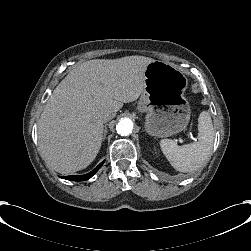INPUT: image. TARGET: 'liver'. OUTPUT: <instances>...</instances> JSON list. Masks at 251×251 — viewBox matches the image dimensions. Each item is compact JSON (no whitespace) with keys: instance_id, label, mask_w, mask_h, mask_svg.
<instances>
[{"instance_id":"1","label":"liver","mask_w":251,"mask_h":251,"mask_svg":"<svg viewBox=\"0 0 251 251\" xmlns=\"http://www.w3.org/2000/svg\"><path fill=\"white\" fill-rule=\"evenodd\" d=\"M141 55L92 59L72 69L55 88L38 122V146L53 170L80 171L96 157L103 117L138 99L145 87Z\"/></svg>"}]
</instances>
